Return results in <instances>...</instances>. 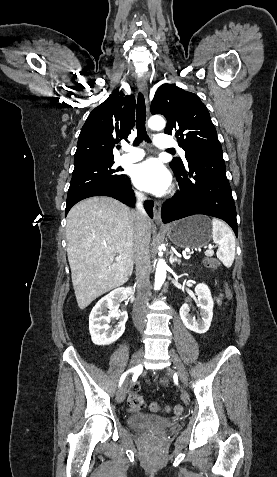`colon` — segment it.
<instances>
[{
  "instance_id": "colon-1",
  "label": "colon",
  "mask_w": 277,
  "mask_h": 477,
  "mask_svg": "<svg viewBox=\"0 0 277 477\" xmlns=\"http://www.w3.org/2000/svg\"><path fill=\"white\" fill-rule=\"evenodd\" d=\"M203 268H216L219 266V262L214 259L213 256H204L202 259ZM224 296L226 303L231 304L234 301L235 294L231 290L230 285L224 286ZM129 405L134 410H141L145 406L144 398L137 393V390L132 388V392L129 396ZM150 409L154 412H157L161 409V406L158 403H152ZM183 412V407L181 405H176L174 407V413L179 415Z\"/></svg>"
}]
</instances>
